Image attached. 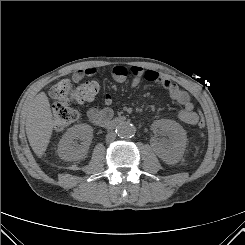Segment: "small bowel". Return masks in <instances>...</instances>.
Wrapping results in <instances>:
<instances>
[{
	"label": "small bowel",
	"mask_w": 245,
	"mask_h": 245,
	"mask_svg": "<svg viewBox=\"0 0 245 245\" xmlns=\"http://www.w3.org/2000/svg\"><path fill=\"white\" fill-rule=\"evenodd\" d=\"M97 72L96 68L88 67L82 70H77L73 73L72 79L74 82H80L86 76H93ZM113 79L118 83H124L130 79V86L137 87L142 80L155 83L167 90L170 97L182 106L178 117L186 124L196 125L199 121V115L194 110V105L191 102L189 94L181 89L175 82L154 70H145L139 66H132L129 69L124 66H114L111 70ZM113 98L110 94L104 97V107L90 106L87 109L88 119L96 124L110 120L113 116L111 105Z\"/></svg>",
	"instance_id": "small-bowel-1"
}]
</instances>
